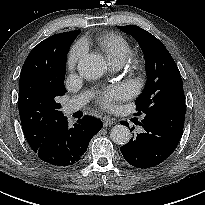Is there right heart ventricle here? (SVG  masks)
Here are the masks:
<instances>
[{"label":"right heart ventricle","mask_w":205,"mask_h":205,"mask_svg":"<svg viewBox=\"0 0 205 205\" xmlns=\"http://www.w3.org/2000/svg\"><path fill=\"white\" fill-rule=\"evenodd\" d=\"M97 46L104 52L111 65L123 64L131 55V46L120 34L114 32L100 33L96 36Z\"/></svg>","instance_id":"right-heart-ventricle-1"}]
</instances>
